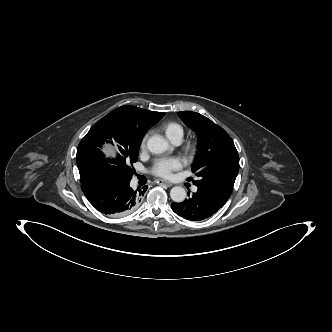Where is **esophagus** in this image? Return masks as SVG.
<instances>
[{
	"label": "esophagus",
	"instance_id": "obj_1",
	"mask_svg": "<svg viewBox=\"0 0 332 332\" xmlns=\"http://www.w3.org/2000/svg\"><path fill=\"white\" fill-rule=\"evenodd\" d=\"M157 183H158V184H164V185H166V186H168V187H171V186L173 185L171 182L166 181V180H163V179H158V180H157Z\"/></svg>",
	"mask_w": 332,
	"mask_h": 332
}]
</instances>
